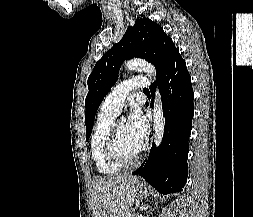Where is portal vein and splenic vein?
Instances as JSON below:
<instances>
[{"instance_id": "18ae733b", "label": "portal vein and splenic vein", "mask_w": 253, "mask_h": 217, "mask_svg": "<svg viewBox=\"0 0 253 217\" xmlns=\"http://www.w3.org/2000/svg\"><path fill=\"white\" fill-rule=\"evenodd\" d=\"M129 217H141V215L137 214L134 216V215L129 214Z\"/></svg>"}]
</instances>
